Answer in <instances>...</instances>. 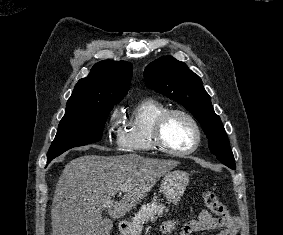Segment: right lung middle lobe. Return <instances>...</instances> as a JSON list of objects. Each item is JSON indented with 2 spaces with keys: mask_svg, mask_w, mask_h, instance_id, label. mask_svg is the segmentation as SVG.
<instances>
[{
  "mask_svg": "<svg viewBox=\"0 0 283 235\" xmlns=\"http://www.w3.org/2000/svg\"><path fill=\"white\" fill-rule=\"evenodd\" d=\"M118 102L67 103L65 115L49 148L47 163L73 147L101 140L106 119Z\"/></svg>",
  "mask_w": 283,
  "mask_h": 235,
  "instance_id": "right-lung-middle-lobe-1",
  "label": "right lung middle lobe"
}]
</instances>
